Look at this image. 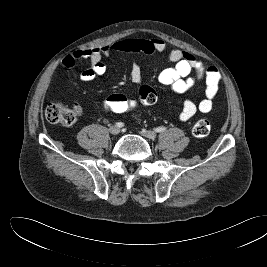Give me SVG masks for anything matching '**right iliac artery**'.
<instances>
[{"instance_id": "obj_1", "label": "right iliac artery", "mask_w": 267, "mask_h": 267, "mask_svg": "<svg viewBox=\"0 0 267 267\" xmlns=\"http://www.w3.org/2000/svg\"><path fill=\"white\" fill-rule=\"evenodd\" d=\"M116 126L119 127V128H120V127H123V126H124V123H122V122H118V123H116Z\"/></svg>"}]
</instances>
